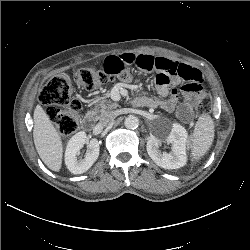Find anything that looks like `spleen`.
I'll list each match as a JSON object with an SVG mask.
<instances>
[{"instance_id":"3e777b00","label":"spleen","mask_w":250,"mask_h":250,"mask_svg":"<svg viewBox=\"0 0 250 250\" xmlns=\"http://www.w3.org/2000/svg\"><path fill=\"white\" fill-rule=\"evenodd\" d=\"M214 139V122L209 115H201L192 135L191 155L194 159L202 157L211 147Z\"/></svg>"}]
</instances>
